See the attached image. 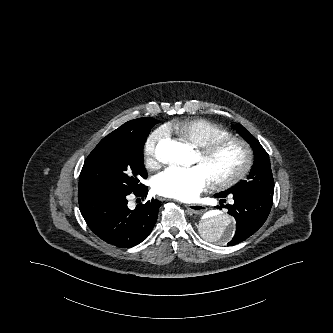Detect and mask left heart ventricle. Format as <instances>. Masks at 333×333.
I'll list each match as a JSON object with an SVG mask.
<instances>
[{"mask_svg":"<svg viewBox=\"0 0 333 333\" xmlns=\"http://www.w3.org/2000/svg\"><path fill=\"white\" fill-rule=\"evenodd\" d=\"M242 158V150L238 146L228 145L207 159H203L198 154L194 162L200 165L212 179L226 176L238 169L242 163Z\"/></svg>","mask_w":333,"mask_h":333,"instance_id":"b2bd125f","label":"left heart ventricle"}]
</instances>
